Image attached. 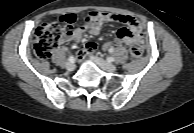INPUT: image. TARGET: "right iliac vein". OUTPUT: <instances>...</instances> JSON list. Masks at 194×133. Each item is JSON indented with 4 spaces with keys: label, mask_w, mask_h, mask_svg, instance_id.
Returning a JSON list of instances; mask_svg holds the SVG:
<instances>
[{
    "label": "right iliac vein",
    "mask_w": 194,
    "mask_h": 133,
    "mask_svg": "<svg viewBox=\"0 0 194 133\" xmlns=\"http://www.w3.org/2000/svg\"><path fill=\"white\" fill-rule=\"evenodd\" d=\"M65 67H66V69L68 71H73L74 68H75V64H74V62H67L66 65H65Z\"/></svg>",
    "instance_id": "1"
}]
</instances>
